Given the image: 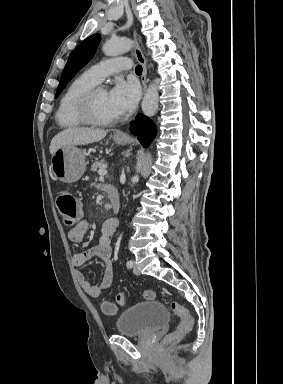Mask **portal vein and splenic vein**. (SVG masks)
Returning a JSON list of instances; mask_svg holds the SVG:
<instances>
[{
	"label": "portal vein and splenic vein",
	"mask_w": 283,
	"mask_h": 384,
	"mask_svg": "<svg viewBox=\"0 0 283 384\" xmlns=\"http://www.w3.org/2000/svg\"><path fill=\"white\" fill-rule=\"evenodd\" d=\"M98 174H99L100 178H103V176H106L107 170H99Z\"/></svg>",
	"instance_id": "18ae733b"
}]
</instances>
